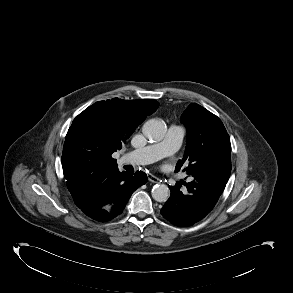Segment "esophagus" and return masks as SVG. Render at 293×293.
Listing matches in <instances>:
<instances>
[{
	"label": "esophagus",
	"instance_id": "1",
	"mask_svg": "<svg viewBox=\"0 0 293 293\" xmlns=\"http://www.w3.org/2000/svg\"><path fill=\"white\" fill-rule=\"evenodd\" d=\"M148 180L150 181V182H153V183H160L162 180H160L159 178H157V177H155V176H153V175H151V174H149L148 175Z\"/></svg>",
	"mask_w": 293,
	"mask_h": 293
}]
</instances>
